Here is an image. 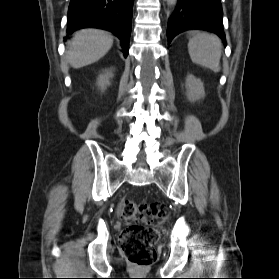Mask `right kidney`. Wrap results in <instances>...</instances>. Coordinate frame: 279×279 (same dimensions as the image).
<instances>
[{"label":"right kidney","instance_id":"ca27d5eb","mask_svg":"<svg viewBox=\"0 0 279 279\" xmlns=\"http://www.w3.org/2000/svg\"><path fill=\"white\" fill-rule=\"evenodd\" d=\"M113 77L112 70H105L103 74H100L97 79L98 87L104 91L107 86L110 85V79Z\"/></svg>","mask_w":279,"mask_h":279}]
</instances>
